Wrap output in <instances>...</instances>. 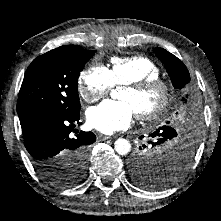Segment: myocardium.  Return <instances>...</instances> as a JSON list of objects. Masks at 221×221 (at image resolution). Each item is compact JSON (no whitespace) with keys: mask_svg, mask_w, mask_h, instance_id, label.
<instances>
[{"mask_svg":"<svg viewBox=\"0 0 221 221\" xmlns=\"http://www.w3.org/2000/svg\"><path fill=\"white\" fill-rule=\"evenodd\" d=\"M125 88L133 91L136 94H143L155 89L160 90L162 100L155 109L149 112L136 113L137 118L142 121H154L162 117L170 108L174 97L172 85L167 80L159 77L145 79L136 83H129L125 85Z\"/></svg>","mask_w":221,"mask_h":221,"instance_id":"obj_1","label":"myocardium"}]
</instances>
